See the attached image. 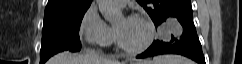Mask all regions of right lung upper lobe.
Segmentation results:
<instances>
[{
    "instance_id": "obj_1",
    "label": "right lung upper lobe",
    "mask_w": 242,
    "mask_h": 64,
    "mask_svg": "<svg viewBox=\"0 0 242 64\" xmlns=\"http://www.w3.org/2000/svg\"><path fill=\"white\" fill-rule=\"evenodd\" d=\"M91 2L92 0H49L44 16L84 12L90 7Z\"/></svg>"
}]
</instances>
